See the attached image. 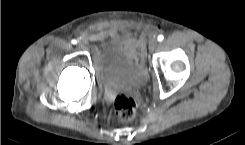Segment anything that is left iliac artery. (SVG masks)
<instances>
[{"label":"left iliac artery","mask_w":245,"mask_h":145,"mask_svg":"<svg viewBox=\"0 0 245 145\" xmlns=\"http://www.w3.org/2000/svg\"><path fill=\"white\" fill-rule=\"evenodd\" d=\"M157 39H158V41L161 42L164 39V37H163V35H159Z\"/></svg>","instance_id":"44dca946"}]
</instances>
